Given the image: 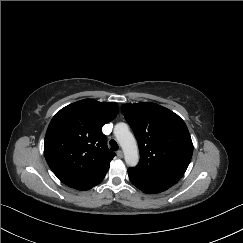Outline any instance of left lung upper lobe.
<instances>
[{
  "label": "left lung upper lobe",
  "mask_w": 243,
  "mask_h": 243,
  "mask_svg": "<svg viewBox=\"0 0 243 243\" xmlns=\"http://www.w3.org/2000/svg\"><path fill=\"white\" fill-rule=\"evenodd\" d=\"M122 112L138 141L140 161L128 173L136 177L185 173L193 144L184 121L152 102L123 104Z\"/></svg>",
  "instance_id": "obj_1"
}]
</instances>
